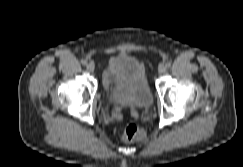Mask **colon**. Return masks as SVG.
Listing matches in <instances>:
<instances>
[{"mask_svg": "<svg viewBox=\"0 0 243 167\" xmlns=\"http://www.w3.org/2000/svg\"><path fill=\"white\" fill-rule=\"evenodd\" d=\"M145 132L139 126L130 124L123 133V140L126 142H134L143 139Z\"/></svg>", "mask_w": 243, "mask_h": 167, "instance_id": "obj_1", "label": "colon"}]
</instances>
